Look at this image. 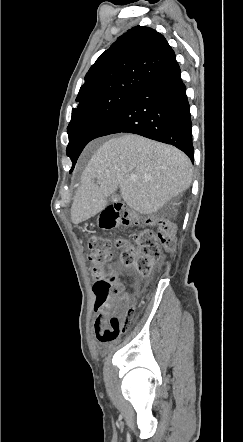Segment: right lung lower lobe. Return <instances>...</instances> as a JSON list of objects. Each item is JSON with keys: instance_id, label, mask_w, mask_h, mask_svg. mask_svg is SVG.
Returning a JSON list of instances; mask_svg holds the SVG:
<instances>
[{"instance_id": "right-lung-lower-lobe-1", "label": "right lung lower lobe", "mask_w": 243, "mask_h": 442, "mask_svg": "<svg viewBox=\"0 0 243 442\" xmlns=\"http://www.w3.org/2000/svg\"><path fill=\"white\" fill-rule=\"evenodd\" d=\"M176 59L137 87L94 135L128 132L174 145L193 162L192 124L186 87Z\"/></svg>"}]
</instances>
